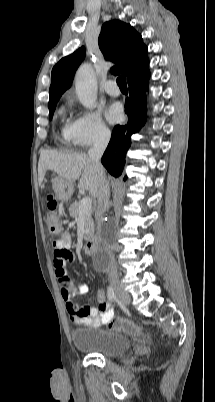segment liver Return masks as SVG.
Wrapping results in <instances>:
<instances>
[{
    "instance_id": "6515ba94",
    "label": "liver",
    "mask_w": 215,
    "mask_h": 402,
    "mask_svg": "<svg viewBox=\"0 0 215 402\" xmlns=\"http://www.w3.org/2000/svg\"><path fill=\"white\" fill-rule=\"evenodd\" d=\"M47 170L54 171L63 179L74 182L79 179L78 188L88 190L93 196L98 192V175L91 159L85 153H63L44 150L38 163V183L41 186Z\"/></svg>"
}]
</instances>
